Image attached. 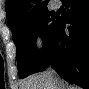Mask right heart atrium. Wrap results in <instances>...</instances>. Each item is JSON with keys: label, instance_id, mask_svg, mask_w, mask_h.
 <instances>
[{"label": "right heart atrium", "instance_id": "1", "mask_svg": "<svg viewBox=\"0 0 89 89\" xmlns=\"http://www.w3.org/2000/svg\"><path fill=\"white\" fill-rule=\"evenodd\" d=\"M33 44H34V47L38 51L42 50L44 48V45H45L44 36L41 33L35 34V36L33 38Z\"/></svg>", "mask_w": 89, "mask_h": 89}]
</instances>
